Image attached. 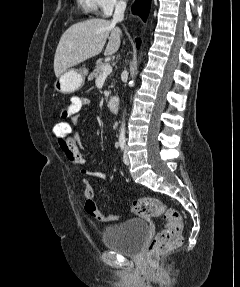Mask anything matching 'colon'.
Returning a JSON list of instances; mask_svg holds the SVG:
<instances>
[{"label":"colon","mask_w":240,"mask_h":287,"mask_svg":"<svg viewBox=\"0 0 240 287\" xmlns=\"http://www.w3.org/2000/svg\"><path fill=\"white\" fill-rule=\"evenodd\" d=\"M53 133L58 141L67 143L72 134V125L69 121L60 118L54 126ZM84 186V209L92 218L100 222H112L118 219L117 215L103 214L95 201L94 191L86 179ZM131 211L141 217H163L164 227L155 235L146 252V263L157 269L161 259L179 247L182 243L183 219L173 208L166 206L162 201L153 197H144L134 200L130 205Z\"/></svg>","instance_id":"colon-1"}]
</instances>
